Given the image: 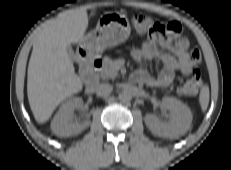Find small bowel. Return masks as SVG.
Masks as SVG:
<instances>
[{"mask_svg":"<svg viewBox=\"0 0 231 170\" xmlns=\"http://www.w3.org/2000/svg\"><path fill=\"white\" fill-rule=\"evenodd\" d=\"M165 28L166 33L162 38H150L132 50V57L139 65L135 79L149 87L170 86L176 73L189 75L200 61V53L190 50L189 41L182 36V26L179 22H169ZM158 45L171 54L160 51ZM151 60H159L163 65L156 76L151 75L145 67V63Z\"/></svg>","mask_w":231,"mask_h":170,"instance_id":"1","label":"small bowel"}]
</instances>
